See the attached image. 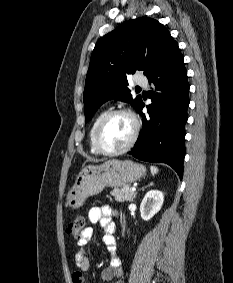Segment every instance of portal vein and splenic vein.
<instances>
[{
	"label": "portal vein and splenic vein",
	"instance_id": "obj_1",
	"mask_svg": "<svg viewBox=\"0 0 233 283\" xmlns=\"http://www.w3.org/2000/svg\"><path fill=\"white\" fill-rule=\"evenodd\" d=\"M131 191H132V192H135V191H136V188H135V187H132V188H131Z\"/></svg>",
	"mask_w": 233,
	"mask_h": 283
}]
</instances>
